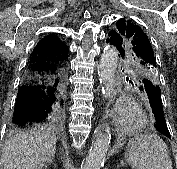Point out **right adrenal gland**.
Masks as SVG:
<instances>
[{
    "mask_svg": "<svg viewBox=\"0 0 177 169\" xmlns=\"http://www.w3.org/2000/svg\"><path fill=\"white\" fill-rule=\"evenodd\" d=\"M52 156H53V160H51L50 162H49V164H53L54 165V154H52ZM46 167V166H45Z\"/></svg>",
    "mask_w": 177,
    "mask_h": 169,
    "instance_id": "right-adrenal-gland-1",
    "label": "right adrenal gland"
}]
</instances>
